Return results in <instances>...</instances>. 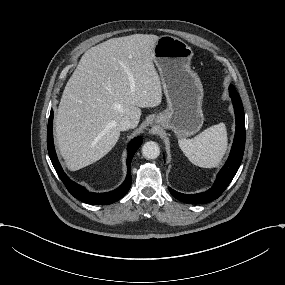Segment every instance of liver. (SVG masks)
I'll list each match as a JSON object with an SVG mask.
<instances>
[{
  "label": "liver",
  "instance_id": "liver-1",
  "mask_svg": "<svg viewBox=\"0 0 285 285\" xmlns=\"http://www.w3.org/2000/svg\"><path fill=\"white\" fill-rule=\"evenodd\" d=\"M157 35L111 38L88 49L68 80L55 116L58 149L71 171L104 157L117 143L118 123L137 127L141 109L161 103L153 64Z\"/></svg>",
  "mask_w": 285,
  "mask_h": 285
}]
</instances>
